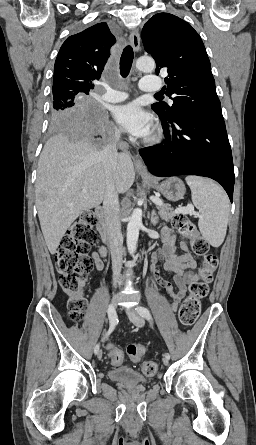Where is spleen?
I'll use <instances>...</instances> for the list:
<instances>
[{
    "mask_svg": "<svg viewBox=\"0 0 256 445\" xmlns=\"http://www.w3.org/2000/svg\"><path fill=\"white\" fill-rule=\"evenodd\" d=\"M194 206L199 210L198 227L203 238L213 247H219L226 236L229 199L221 187L199 176H187Z\"/></svg>",
    "mask_w": 256,
    "mask_h": 445,
    "instance_id": "obj_1",
    "label": "spleen"
}]
</instances>
